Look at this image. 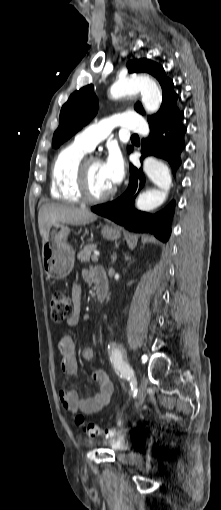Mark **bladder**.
Here are the masks:
<instances>
[{
  "instance_id": "31cf9c89",
  "label": "bladder",
  "mask_w": 221,
  "mask_h": 510,
  "mask_svg": "<svg viewBox=\"0 0 221 510\" xmlns=\"http://www.w3.org/2000/svg\"><path fill=\"white\" fill-rule=\"evenodd\" d=\"M133 444H134L133 439L131 437L126 436L115 440L112 443L111 448L115 452H127L133 446Z\"/></svg>"
}]
</instances>
